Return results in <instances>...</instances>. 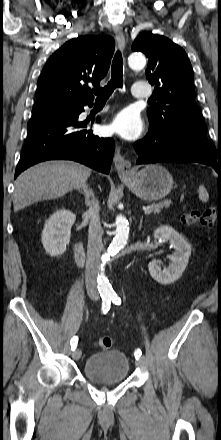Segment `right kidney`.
Here are the masks:
<instances>
[{"label": "right kidney", "instance_id": "obj_1", "mask_svg": "<svg viewBox=\"0 0 221 440\" xmlns=\"http://www.w3.org/2000/svg\"><path fill=\"white\" fill-rule=\"evenodd\" d=\"M74 222L75 215L65 209L58 210L50 216L42 232V244L47 254L57 257L66 251Z\"/></svg>", "mask_w": 221, "mask_h": 440}]
</instances>
